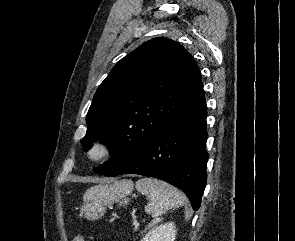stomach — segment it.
<instances>
[{
	"label": "stomach",
	"mask_w": 295,
	"mask_h": 241,
	"mask_svg": "<svg viewBox=\"0 0 295 241\" xmlns=\"http://www.w3.org/2000/svg\"><path fill=\"white\" fill-rule=\"evenodd\" d=\"M133 189L128 180L115 181L109 184H99L91 187L83 196L81 212L89 220L100 219L106 209L114 203L126 206L129 203L128 195Z\"/></svg>",
	"instance_id": "stomach-1"
}]
</instances>
